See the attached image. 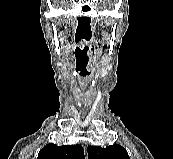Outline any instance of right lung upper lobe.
<instances>
[{"instance_id": "right-lung-upper-lobe-1", "label": "right lung upper lobe", "mask_w": 173, "mask_h": 159, "mask_svg": "<svg viewBox=\"0 0 173 159\" xmlns=\"http://www.w3.org/2000/svg\"><path fill=\"white\" fill-rule=\"evenodd\" d=\"M37 159H85L84 150L80 145L57 146L48 144L42 148Z\"/></svg>"}]
</instances>
